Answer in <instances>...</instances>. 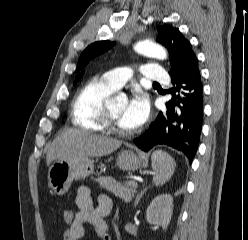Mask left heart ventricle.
Returning <instances> with one entry per match:
<instances>
[{"label": "left heart ventricle", "mask_w": 248, "mask_h": 240, "mask_svg": "<svg viewBox=\"0 0 248 240\" xmlns=\"http://www.w3.org/2000/svg\"><path fill=\"white\" fill-rule=\"evenodd\" d=\"M127 105H128V100L122 99L113 103L109 107V109L119 127L125 130H131L132 128L128 125V123L124 119Z\"/></svg>", "instance_id": "left-heart-ventricle-1"}]
</instances>
